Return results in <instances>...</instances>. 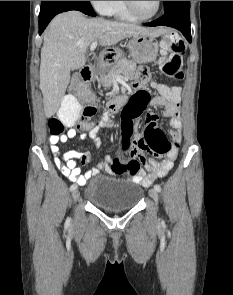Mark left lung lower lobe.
<instances>
[{"label":"left lung lower lobe","mask_w":233,"mask_h":295,"mask_svg":"<svg viewBox=\"0 0 233 295\" xmlns=\"http://www.w3.org/2000/svg\"><path fill=\"white\" fill-rule=\"evenodd\" d=\"M146 26H158L165 25L178 29L183 33L186 39L191 42L190 32V3H180L173 7L171 10L165 12V14L150 23L144 24Z\"/></svg>","instance_id":"1"}]
</instances>
